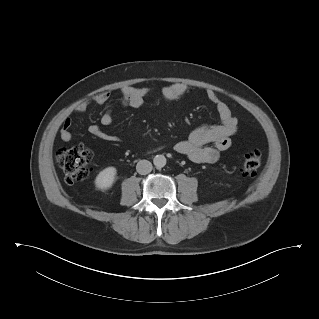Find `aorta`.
Instances as JSON below:
<instances>
[{"mask_svg":"<svg viewBox=\"0 0 319 319\" xmlns=\"http://www.w3.org/2000/svg\"><path fill=\"white\" fill-rule=\"evenodd\" d=\"M156 168H162L166 165V158L164 155H156L153 159Z\"/></svg>","mask_w":319,"mask_h":319,"instance_id":"762f6f07","label":"aorta"}]
</instances>
